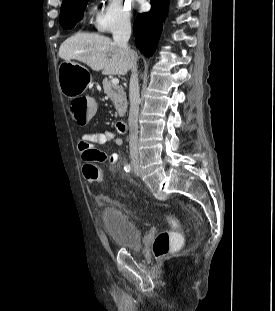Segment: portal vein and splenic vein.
Masks as SVG:
<instances>
[{"mask_svg":"<svg viewBox=\"0 0 275 311\" xmlns=\"http://www.w3.org/2000/svg\"><path fill=\"white\" fill-rule=\"evenodd\" d=\"M112 84L118 85L119 84V79L118 78H113L112 79Z\"/></svg>","mask_w":275,"mask_h":311,"instance_id":"18ae733b","label":"portal vein and splenic vein"}]
</instances>
